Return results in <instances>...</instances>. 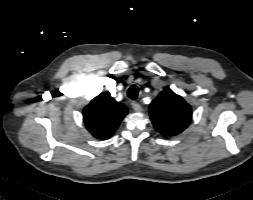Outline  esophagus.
<instances>
[{"label": "esophagus", "instance_id": "esophagus-1", "mask_svg": "<svg viewBox=\"0 0 253 200\" xmlns=\"http://www.w3.org/2000/svg\"><path fill=\"white\" fill-rule=\"evenodd\" d=\"M131 105H132V108H133L135 111H137V112H139V111L142 110L141 105L138 104L137 102H132Z\"/></svg>", "mask_w": 253, "mask_h": 200}]
</instances>
